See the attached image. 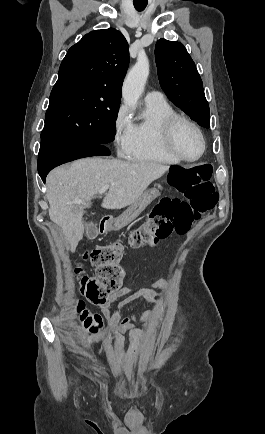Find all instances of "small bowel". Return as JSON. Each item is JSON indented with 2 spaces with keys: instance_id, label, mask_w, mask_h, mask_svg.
I'll use <instances>...</instances> for the list:
<instances>
[{
  "instance_id": "1",
  "label": "small bowel",
  "mask_w": 265,
  "mask_h": 434,
  "mask_svg": "<svg viewBox=\"0 0 265 434\" xmlns=\"http://www.w3.org/2000/svg\"><path fill=\"white\" fill-rule=\"evenodd\" d=\"M161 290L167 293L169 286L166 280L158 279L146 287L134 289L123 286L111 293L105 302L100 305L101 314L106 318L107 329L95 336L94 341L97 345L111 344V363L113 372L116 376L122 375L120 353L125 347V336L131 335L140 339L148 347L147 335L135 327L136 320H158L159 312L155 309L143 313L134 311L131 317H121L122 309L132 302H151L156 298L157 291ZM117 303L116 311L111 314L109 307ZM129 372L134 373L137 366V358L131 356L128 358Z\"/></svg>"
}]
</instances>
